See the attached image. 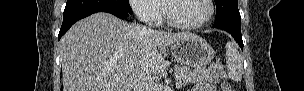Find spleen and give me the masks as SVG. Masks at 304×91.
<instances>
[{
  "label": "spleen",
  "mask_w": 304,
  "mask_h": 91,
  "mask_svg": "<svg viewBox=\"0 0 304 91\" xmlns=\"http://www.w3.org/2000/svg\"><path fill=\"white\" fill-rule=\"evenodd\" d=\"M226 67L228 76L233 81L238 82L242 80V58L237 48L231 42L226 45Z\"/></svg>",
  "instance_id": "obj_1"
}]
</instances>
